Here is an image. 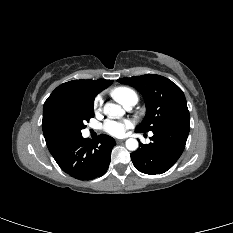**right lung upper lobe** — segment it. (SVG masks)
<instances>
[{"instance_id":"right-lung-upper-lobe-1","label":"right lung upper lobe","mask_w":233,"mask_h":233,"mask_svg":"<svg viewBox=\"0 0 233 233\" xmlns=\"http://www.w3.org/2000/svg\"><path fill=\"white\" fill-rule=\"evenodd\" d=\"M113 80H73L58 86L47 98L43 108L42 127L49 151L56 148L50 144L49 129L53 115L77 100H94L95 96L111 85Z\"/></svg>"}]
</instances>
